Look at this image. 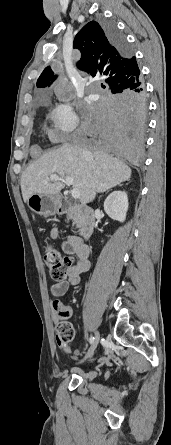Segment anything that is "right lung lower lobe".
I'll return each mask as SVG.
<instances>
[{"instance_id":"right-lung-lower-lobe-1","label":"right lung lower lobe","mask_w":171,"mask_h":445,"mask_svg":"<svg viewBox=\"0 0 171 445\" xmlns=\"http://www.w3.org/2000/svg\"><path fill=\"white\" fill-rule=\"evenodd\" d=\"M109 41L122 54L130 49L111 22L101 23ZM146 96L141 80L128 89L111 91L84 112L83 133L98 150L138 164L146 129Z\"/></svg>"}]
</instances>
